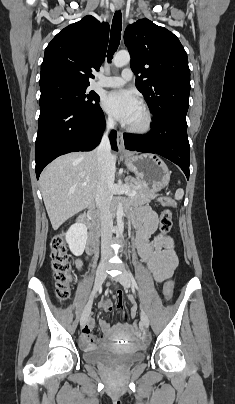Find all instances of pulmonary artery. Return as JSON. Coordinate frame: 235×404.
<instances>
[{
    "label": "pulmonary artery",
    "instance_id": "e3ab8cb5",
    "mask_svg": "<svg viewBox=\"0 0 235 404\" xmlns=\"http://www.w3.org/2000/svg\"><path fill=\"white\" fill-rule=\"evenodd\" d=\"M133 77V72L130 69H124L121 76H109L100 78L96 82V87H120L130 81Z\"/></svg>",
    "mask_w": 235,
    "mask_h": 404
}]
</instances>
